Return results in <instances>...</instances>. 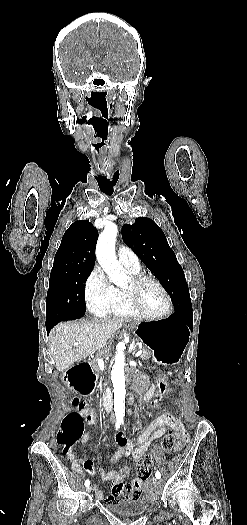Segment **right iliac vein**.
I'll use <instances>...</instances> for the list:
<instances>
[{"label": "right iliac vein", "instance_id": "1", "mask_svg": "<svg viewBox=\"0 0 247 525\" xmlns=\"http://www.w3.org/2000/svg\"><path fill=\"white\" fill-rule=\"evenodd\" d=\"M91 490H92V487H91V486H88V487L86 488V491H87L88 493H90Z\"/></svg>", "mask_w": 247, "mask_h": 525}]
</instances>
